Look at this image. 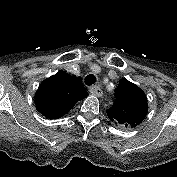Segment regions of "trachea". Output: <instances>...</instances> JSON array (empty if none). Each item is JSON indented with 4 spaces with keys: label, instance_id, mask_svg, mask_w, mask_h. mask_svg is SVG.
Returning <instances> with one entry per match:
<instances>
[{
    "label": "trachea",
    "instance_id": "trachea-1",
    "mask_svg": "<svg viewBox=\"0 0 177 177\" xmlns=\"http://www.w3.org/2000/svg\"><path fill=\"white\" fill-rule=\"evenodd\" d=\"M96 82V77L93 74H89L85 78V83L90 86Z\"/></svg>",
    "mask_w": 177,
    "mask_h": 177
}]
</instances>
